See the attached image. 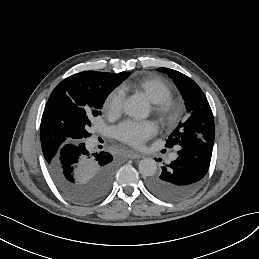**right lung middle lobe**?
Here are the masks:
<instances>
[{
  "label": "right lung middle lobe",
  "instance_id": "1",
  "mask_svg": "<svg viewBox=\"0 0 259 259\" xmlns=\"http://www.w3.org/2000/svg\"><path fill=\"white\" fill-rule=\"evenodd\" d=\"M128 76L129 73L126 74L123 80ZM120 83L121 81L114 82L113 84L96 90L92 94L89 107L82 112L78 121L65 131L67 144H77L83 142L86 138L91 136L89 133V128L91 127L92 118L101 115L100 109L102 108L105 99Z\"/></svg>",
  "mask_w": 259,
  "mask_h": 259
}]
</instances>
